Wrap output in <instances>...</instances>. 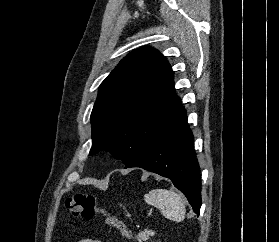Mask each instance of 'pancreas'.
<instances>
[{
    "label": "pancreas",
    "mask_w": 279,
    "mask_h": 242,
    "mask_svg": "<svg viewBox=\"0 0 279 242\" xmlns=\"http://www.w3.org/2000/svg\"><path fill=\"white\" fill-rule=\"evenodd\" d=\"M152 235V231H148V230H145V231H142L140 232L138 235H137V240L138 242H142V240H146L148 239V237Z\"/></svg>",
    "instance_id": "1"
}]
</instances>
